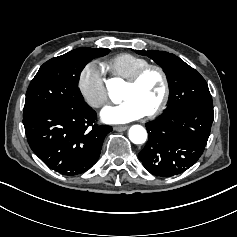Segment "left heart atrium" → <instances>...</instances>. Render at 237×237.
<instances>
[{
  "label": "left heart atrium",
  "mask_w": 237,
  "mask_h": 237,
  "mask_svg": "<svg viewBox=\"0 0 237 237\" xmlns=\"http://www.w3.org/2000/svg\"><path fill=\"white\" fill-rule=\"evenodd\" d=\"M145 113L132 101L124 100L117 105H109L101 111V119L107 124H123L142 118Z\"/></svg>",
  "instance_id": "left-heart-atrium-1"
}]
</instances>
